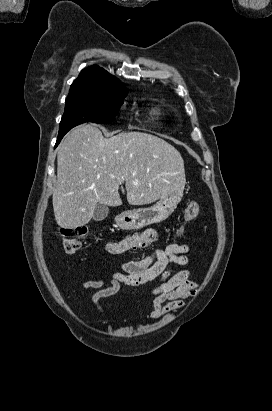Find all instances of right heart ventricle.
<instances>
[{"instance_id": "e07e8e85", "label": "right heart ventricle", "mask_w": 272, "mask_h": 411, "mask_svg": "<svg viewBox=\"0 0 272 411\" xmlns=\"http://www.w3.org/2000/svg\"><path fill=\"white\" fill-rule=\"evenodd\" d=\"M154 113L155 114H160V111L159 110H154Z\"/></svg>"}]
</instances>
